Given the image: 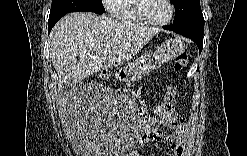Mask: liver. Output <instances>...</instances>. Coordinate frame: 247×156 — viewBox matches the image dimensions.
Segmentation results:
<instances>
[{"label":"liver","instance_id":"6515ba94","mask_svg":"<svg viewBox=\"0 0 247 156\" xmlns=\"http://www.w3.org/2000/svg\"><path fill=\"white\" fill-rule=\"evenodd\" d=\"M159 31L88 12L64 16L53 27L48 40L58 90L71 78L77 82L130 60Z\"/></svg>","mask_w":247,"mask_h":156}]
</instances>
